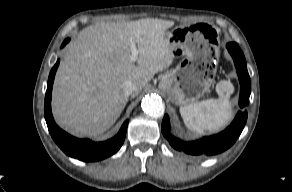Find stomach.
I'll use <instances>...</instances> for the list:
<instances>
[{
	"instance_id": "1",
	"label": "stomach",
	"mask_w": 292,
	"mask_h": 192,
	"mask_svg": "<svg viewBox=\"0 0 292 192\" xmlns=\"http://www.w3.org/2000/svg\"><path fill=\"white\" fill-rule=\"evenodd\" d=\"M166 39L181 60L163 74L159 88L176 105L195 103L214 83L219 31L211 24L178 26L166 33Z\"/></svg>"
}]
</instances>
